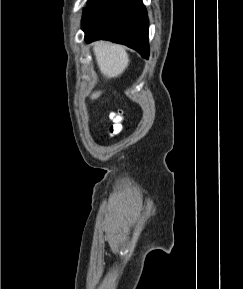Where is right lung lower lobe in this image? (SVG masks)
I'll return each mask as SVG.
<instances>
[{
    "instance_id": "right-lung-lower-lobe-1",
    "label": "right lung lower lobe",
    "mask_w": 243,
    "mask_h": 289,
    "mask_svg": "<svg viewBox=\"0 0 243 289\" xmlns=\"http://www.w3.org/2000/svg\"><path fill=\"white\" fill-rule=\"evenodd\" d=\"M82 29L88 43L111 40L149 57L148 17L142 0H90Z\"/></svg>"
}]
</instances>
